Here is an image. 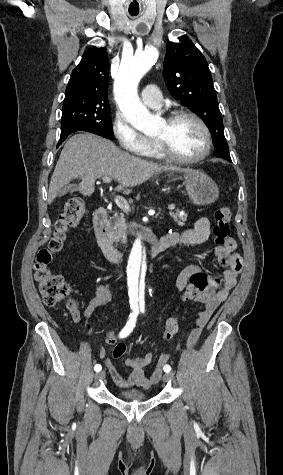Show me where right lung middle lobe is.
I'll use <instances>...</instances> for the list:
<instances>
[{
	"label": "right lung middle lobe",
	"instance_id": "1",
	"mask_svg": "<svg viewBox=\"0 0 283 475\" xmlns=\"http://www.w3.org/2000/svg\"><path fill=\"white\" fill-rule=\"evenodd\" d=\"M108 99L65 97L61 131L77 129L112 139L113 130Z\"/></svg>",
	"mask_w": 283,
	"mask_h": 475
}]
</instances>
